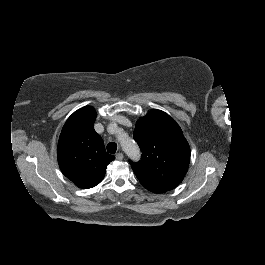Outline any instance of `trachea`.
<instances>
[{
  "instance_id": "1",
  "label": "trachea",
  "mask_w": 265,
  "mask_h": 265,
  "mask_svg": "<svg viewBox=\"0 0 265 265\" xmlns=\"http://www.w3.org/2000/svg\"><path fill=\"white\" fill-rule=\"evenodd\" d=\"M117 150V144L114 143V142H110L108 145H107V151L111 154H114Z\"/></svg>"
}]
</instances>
